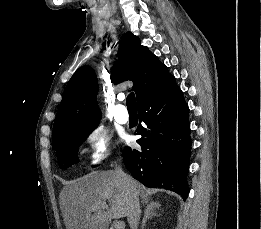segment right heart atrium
<instances>
[{"label":"right heart atrium","instance_id":"right-heart-atrium-1","mask_svg":"<svg viewBox=\"0 0 261 229\" xmlns=\"http://www.w3.org/2000/svg\"><path fill=\"white\" fill-rule=\"evenodd\" d=\"M88 142L90 147V162L98 165L103 162L110 152L111 138L102 125H95L88 132Z\"/></svg>","mask_w":261,"mask_h":229}]
</instances>
